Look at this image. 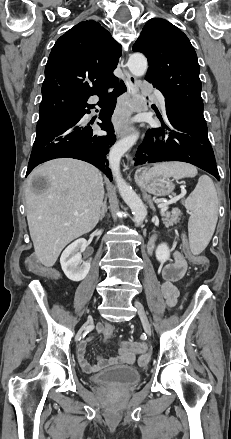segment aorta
Returning <instances> with one entry per match:
<instances>
[{
	"label": "aorta",
	"mask_w": 231,
	"mask_h": 439,
	"mask_svg": "<svg viewBox=\"0 0 231 439\" xmlns=\"http://www.w3.org/2000/svg\"><path fill=\"white\" fill-rule=\"evenodd\" d=\"M128 68L135 77L143 76L148 68L146 57L142 53H134L128 59ZM139 137L138 133H133L120 141L116 142L109 152V167L115 178L118 191L124 202L130 207L134 222H142L146 215L147 209L139 196L134 192L122 178L120 172V161L122 156L135 144Z\"/></svg>",
	"instance_id": "obj_1"
}]
</instances>
